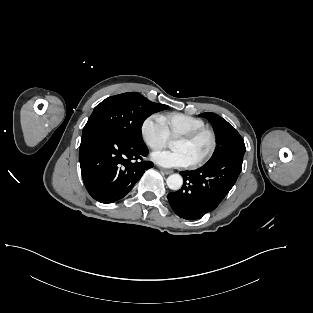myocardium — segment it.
<instances>
[{
    "mask_svg": "<svg viewBox=\"0 0 313 313\" xmlns=\"http://www.w3.org/2000/svg\"><path fill=\"white\" fill-rule=\"evenodd\" d=\"M204 134H208L210 137V147L203 156H201L199 159L195 160L190 164L192 168L202 166L212 157L217 147L216 133L213 129L205 126L194 131L179 135L177 137V139H181L186 142H191Z\"/></svg>",
    "mask_w": 313,
    "mask_h": 313,
    "instance_id": "1",
    "label": "myocardium"
}]
</instances>
